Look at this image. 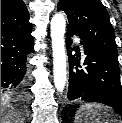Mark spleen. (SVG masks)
I'll return each instance as SVG.
<instances>
[{
    "label": "spleen",
    "instance_id": "3e777b00",
    "mask_svg": "<svg viewBox=\"0 0 122 123\" xmlns=\"http://www.w3.org/2000/svg\"><path fill=\"white\" fill-rule=\"evenodd\" d=\"M113 118L107 106L86 103L76 112L75 123H113Z\"/></svg>",
    "mask_w": 122,
    "mask_h": 123
}]
</instances>
